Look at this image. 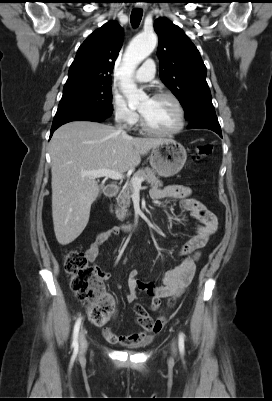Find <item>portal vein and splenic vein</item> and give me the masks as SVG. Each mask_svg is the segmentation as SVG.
<instances>
[{"instance_id": "obj_1", "label": "portal vein and splenic vein", "mask_w": 272, "mask_h": 401, "mask_svg": "<svg viewBox=\"0 0 272 401\" xmlns=\"http://www.w3.org/2000/svg\"><path fill=\"white\" fill-rule=\"evenodd\" d=\"M81 175L84 177H94V178L107 177L113 180H122L124 178V175L122 173L105 168L93 171H82ZM143 181L144 178L133 177L131 179V183L134 188H141V184Z\"/></svg>"}]
</instances>
